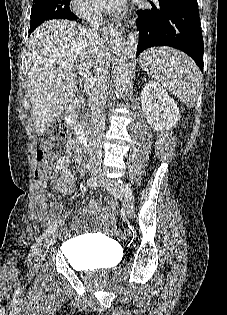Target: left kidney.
I'll return each instance as SVG.
<instances>
[{"label":"left kidney","mask_w":227,"mask_h":315,"mask_svg":"<svg viewBox=\"0 0 227 315\" xmlns=\"http://www.w3.org/2000/svg\"><path fill=\"white\" fill-rule=\"evenodd\" d=\"M141 106L147 122L154 130L162 131L176 125L180 112L175 101L155 81H148L141 92Z\"/></svg>","instance_id":"1"}]
</instances>
